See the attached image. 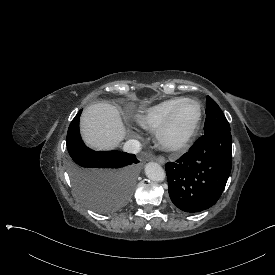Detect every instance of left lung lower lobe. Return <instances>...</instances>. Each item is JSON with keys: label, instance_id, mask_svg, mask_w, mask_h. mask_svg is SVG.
Instances as JSON below:
<instances>
[{"label": "left lung lower lobe", "instance_id": "1", "mask_svg": "<svg viewBox=\"0 0 275 275\" xmlns=\"http://www.w3.org/2000/svg\"><path fill=\"white\" fill-rule=\"evenodd\" d=\"M230 130L200 137L176 162L165 166L169 196L185 212H200L220 198L232 167Z\"/></svg>", "mask_w": 275, "mask_h": 275}]
</instances>
